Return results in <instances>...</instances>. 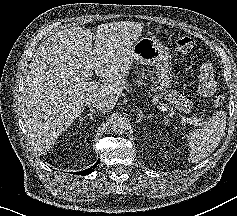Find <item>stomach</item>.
<instances>
[{"instance_id":"obj_1","label":"stomach","mask_w":237,"mask_h":216,"mask_svg":"<svg viewBox=\"0 0 237 216\" xmlns=\"http://www.w3.org/2000/svg\"><path fill=\"white\" fill-rule=\"evenodd\" d=\"M131 57L136 63L151 65L158 70L161 85L159 91L162 95L165 94L166 91L163 88H170V77L168 76L170 56L167 48L156 39L143 37L132 47Z\"/></svg>"}]
</instances>
